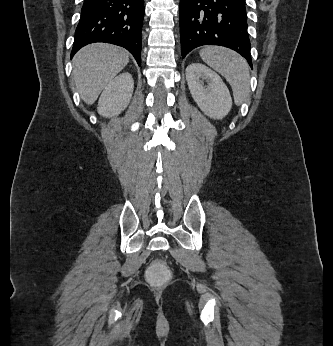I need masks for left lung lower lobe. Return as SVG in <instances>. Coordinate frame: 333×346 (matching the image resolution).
Masks as SVG:
<instances>
[{"label": "left lung lower lobe", "mask_w": 333, "mask_h": 346, "mask_svg": "<svg viewBox=\"0 0 333 346\" xmlns=\"http://www.w3.org/2000/svg\"><path fill=\"white\" fill-rule=\"evenodd\" d=\"M179 15L183 58L196 47L220 45L252 67L245 0H180Z\"/></svg>", "instance_id": "obj_1"}]
</instances>
